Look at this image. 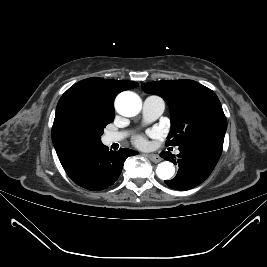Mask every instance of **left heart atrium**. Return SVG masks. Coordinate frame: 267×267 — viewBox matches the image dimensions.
Segmentation results:
<instances>
[{
  "instance_id": "1",
  "label": "left heart atrium",
  "mask_w": 267,
  "mask_h": 267,
  "mask_svg": "<svg viewBox=\"0 0 267 267\" xmlns=\"http://www.w3.org/2000/svg\"><path fill=\"white\" fill-rule=\"evenodd\" d=\"M135 144L139 147H146L147 146V140L143 136H137L134 140Z\"/></svg>"
}]
</instances>
